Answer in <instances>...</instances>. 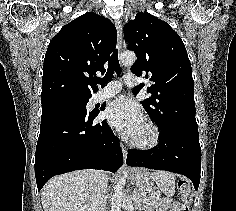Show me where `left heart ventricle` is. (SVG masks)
I'll return each mask as SVG.
<instances>
[{
  "instance_id": "1",
  "label": "left heart ventricle",
  "mask_w": 236,
  "mask_h": 211,
  "mask_svg": "<svg viewBox=\"0 0 236 211\" xmlns=\"http://www.w3.org/2000/svg\"><path fill=\"white\" fill-rule=\"evenodd\" d=\"M133 137L138 139H145L147 138V129L145 124L142 122L131 134Z\"/></svg>"
}]
</instances>
